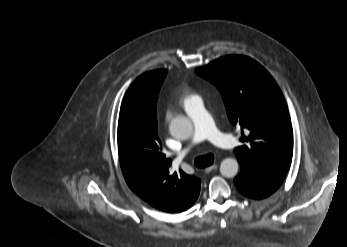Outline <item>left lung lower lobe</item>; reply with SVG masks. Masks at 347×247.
I'll return each mask as SVG.
<instances>
[{
    "label": "left lung lower lobe",
    "instance_id": "obj_1",
    "mask_svg": "<svg viewBox=\"0 0 347 247\" xmlns=\"http://www.w3.org/2000/svg\"><path fill=\"white\" fill-rule=\"evenodd\" d=\"M239 163L241 173L234 183L243 195L253 199H262L274 193L287 173L284 169H253L243 162Z\"/></svg>",
    "mask_w": 347,
    "mask_h": 247
}]
</instances>
